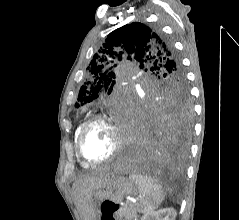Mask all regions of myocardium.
Wrapping results in <instances>:
<instances>
[{"instance_id":"f54148a6","label":"myocardium","mask_w":239,"mask_h":220,"mask_svg":"<svg viewBox=\"0 0 239 220\" xmlns=\"http://www.w3.org/2000/svg\"><path fill=\"white\" fill-rule=\"evenodd\" d=\"M98 123L109 124L115 131L117 141H116V146L114 151L108 157L104 159H100V160H93L85 154L84 140L90 128ZM122 146H123V137H122L120 128L116 124L115 119L113 117L106 116V115H96L92 117L90 120H88L86 123H84L79 132L78 140H77L78 153L80 157L82 158V160L89 165H100L113 160L116 157V155L119 153V151L121 150Z\"/></svg>"}]
</instances>
